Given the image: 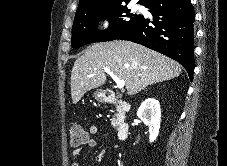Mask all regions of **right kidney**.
Segmentation results:
<instances>
[{
    "mask_svg": "<svg viewBox=\"0 0 227 166\" xmlns=\"http://www.w3.org/2000/svg\"><path fill=\"white\" fill-rule=\"evenodd\" d=\"M138 118L149 128V141L156 140L161 123V109L159 101L154 98L146 99L137 111Z\"/></svg>",
    "mask_w": 227,
    "mask_h": 166,
    "instance_id": "ca27d5eb",
    "label": "right kidney"
}]
</instances>
